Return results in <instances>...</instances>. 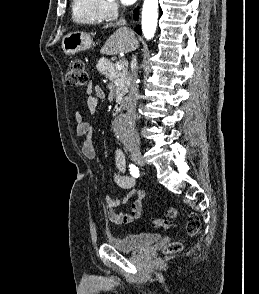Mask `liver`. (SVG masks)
I'll use <instances>...</instances> for the list:
<instances>
[{"label":"liver","mask_w":259,"mask_h":294,"mask_svg":"<svg viewBox=\"0 0 259 294\" xmlns=\"http://www.w3.org/2000/svg\"><path fill=\"white\" fill-rule=\"evenodd\" d=\"M114 26L113 24H107L105 27L108 28ZM139 43L130 30L119 28L116 30L105 42L102 47V53L109 55H116L118 53H129L138 47Z\"/></svg>","instance_id":"6515ba94"}]
</instances>
